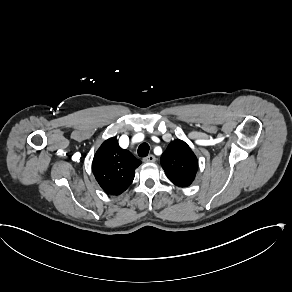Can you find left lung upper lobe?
Here are the masks:
<instances>
[{"mask_svg": "<svg viewBox=\"0 0 292 292\" xmlns=\"http://www.w3.org/2000/svg\"><path fill=\"white\" fill-rule=\"evenodd\" d=\"M161 165L172 183L188 187L195 179L198 161L187 143L174 140L161 156Z\"/></svg>", "mask_w": 292, "mask_h": 292, "instance_id": "obj_1", "label": "left lung upper lobe"}]
</instances>
